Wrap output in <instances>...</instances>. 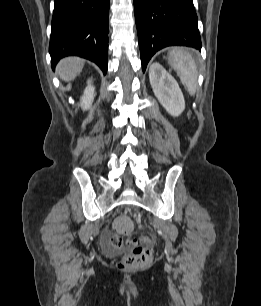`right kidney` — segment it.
I'll list each match as a JSON object with an SVG mask.
<instances>
[{
	"label": "right kidney",
	"instance_id": "right-kidney-1",
	"mask_svg": "<svg viewBox=\"0 0 261 306\" xmlns=\"http://www.w3.org/2000/svg\"><path fill=\"white\" fill-rule=\"evenodd\" d=\"M87 87L84 90V94L81 97V102H80V106L82 107L83 110H87L90 108L94 96H95V88L92 85V79H89L87 81Z\"/></svg>",
	"mask_w": 261,
	"mask_h": 306
}]
</instances>
